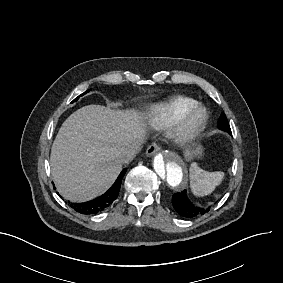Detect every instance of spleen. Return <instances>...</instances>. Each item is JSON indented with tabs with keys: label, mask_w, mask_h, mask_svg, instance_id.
Wrapping results in <instances>:
<instances>
[{
	"label": "spleen",
	"mask_w": 283,
	"mask_h": 283,
	"mask_svg": "<svg viewBox=\"0 0 283 283\" xmlns=\"http://www.w3.org/2000/svg\"><path fill=\"white\" fill-rule=\"evenodd\" d=\"M190 188L195 196L203 197L211 194L220 185L224 177L221 171L208 172L193 162L189 169Z\"/></svg>",
	"instance_id": "spleen-1"
}]
</instances>
